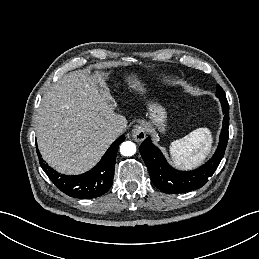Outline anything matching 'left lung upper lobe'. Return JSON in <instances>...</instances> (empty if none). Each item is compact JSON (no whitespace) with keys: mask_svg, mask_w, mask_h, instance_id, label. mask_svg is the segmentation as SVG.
I'll use <instances>...</instances> for the list:
<instances>
[{"mask_svg":"<svg viewBox=\"0 0 259 259\" xmlns=\"http://www.w3.org/2000/svg\"><path fill=\"white\" fill-rule=\"evenodd\" d=\"M216 96H217V97H223V96H225V92L223 91V89H222L219 85H217Z\"/></svg>","mask_w":259,"mask_h":259,"instance_id":"5c2ea615","label":"left lung upper lobe"}]
</instances>
